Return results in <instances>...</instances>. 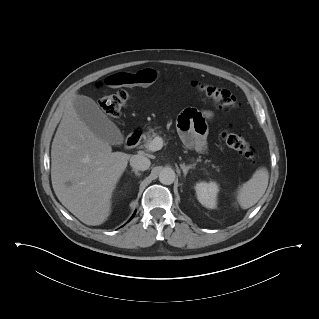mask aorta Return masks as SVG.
<instances>
[{"instance_id": "762f6f07", "label": "aorta", "mask_w": 319, "mask_h": 319, "mask_svg": "<svg viewBox=\"0 0 319 319\" xmlns=\"http://www.w3.org/2000/svg\"><path fill=\"white\" fill-rule=\"evenodd\" d=\"M175 176L172 168L165 167L159 173V181L164 185H170L174 182Z\"/></svg>"}]
</instances>
